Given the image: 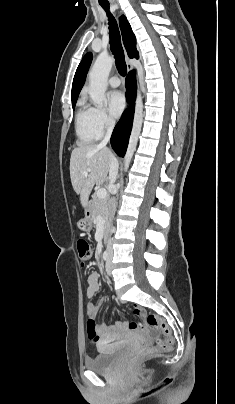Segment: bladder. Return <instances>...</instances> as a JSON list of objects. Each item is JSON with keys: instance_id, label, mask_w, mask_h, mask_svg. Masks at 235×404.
Instances as JSON below:
<instances>
[{"instance_id": "31cf9c89", "label": "bladder", "mask_w": 235, "mask_h": 404, "mask_svg": "<svg viewBox=\"0 0 235 404\" xmlns=\"http://www.w3.org/2000/svg\"><path fill=\"white\" fill-rule=\"evenodd\" d=\"M97 355L85 360V366L96 373L109 372L119 359L123 348L118 345L114 347L101 346Z\"/></svg>"}]
</instances>
